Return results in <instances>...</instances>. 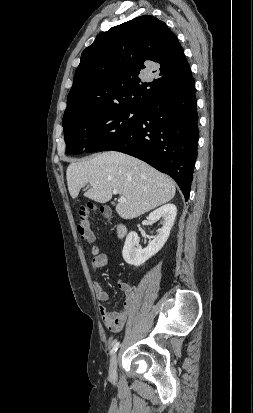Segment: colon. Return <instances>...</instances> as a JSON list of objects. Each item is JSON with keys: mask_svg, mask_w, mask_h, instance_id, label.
I'll use <instances>...</instances> for the list:
<instances>
[{"mask_svg": "<svg viewBox=\"0 0 253 413\" xmlns=\"http://www.w3.org/2000/svg\"><path fill=\"white\" fill-rule=\"evenodd\" d=\"M93 209L94 208L91 205L81 208L79 212L78 221H77V227H76L77 233L80 236V238L88 243H93L95 240V236H94V233L91 229V225L89 222V214H90V211ZM100 212L105 217L109 216V211L105 207H101Z\"/></svg>", "mask_w": 253, "mask_h": 413, "instance_id": "obj_1", "label": "colon"}]
</instances>
